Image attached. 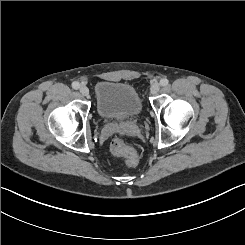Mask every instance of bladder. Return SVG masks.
Listing matches in <instances>:
<instances>
[{
    "mask_svg": "<svg viewBox=\"0 0 245 245\" xmlns=\"http://www.w3.org/2000/svg\"><path fill=\"white\" fill-rule=\"evenodd\" d=\"M96 106L103 118L124 120L136 116L142 103L131 85L100 82L96 85Z\"/></svg>",
    "mask_w": 245,
    "mask_h": 245,
    "instance_id": "obj_1",
    "label": "bladder"
}]
</instances>
